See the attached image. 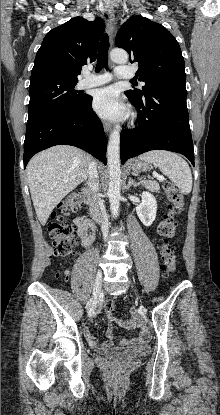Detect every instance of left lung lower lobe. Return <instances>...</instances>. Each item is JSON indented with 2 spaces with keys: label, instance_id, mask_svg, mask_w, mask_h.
<instances>
[{
  "label": "left lung lower lobe",
  "instance_id": "0a47b994",
  "mask_svg": "<svg viewBox=\"0 0 220 415\" xmlns=\"http://www.w3.org/2000/svg\"><path fill=\"white\" fill-rule=\"evenodd\" d=\"M125 94L138 111V125L121 132V163L144 152L160 149L181 153L194 166L185 82L156 84L141 99L128 91Z\"/></svg>",
  "mask_w": 220,
  "mask_h": 415
}]
</instances>
